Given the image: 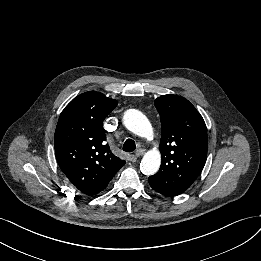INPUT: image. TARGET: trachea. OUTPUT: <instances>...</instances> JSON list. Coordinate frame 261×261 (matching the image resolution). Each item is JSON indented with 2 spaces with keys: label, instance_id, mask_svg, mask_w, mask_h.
Here are the masks:
<instances>
[{
  "label": "trachea",
  "instance_id": "obj_1",
  "mask_svg": "<svg viewBox=\"0 0 261 261\" xmlns=\"http://www.w3.org/2000/svg\"><path fill=\"white\" fill-rule=\"evenodd\" d=\"M135 149H136V144H135L134 140H132V139H127V140L124 142L123 150H124L125 152H133Z\"/></svg>",
  "mask_w": 261,
  "mask_h": 261
}]
</instances>
